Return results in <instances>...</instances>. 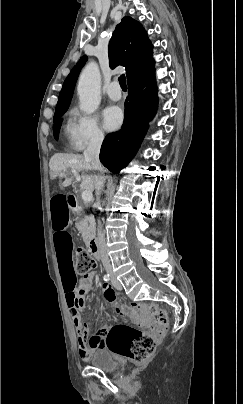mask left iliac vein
I'll return each instance as SVG.
<instances>
[{
  "instance_id": "obj_1",
  "label": "left iliac vein",
  "mask_w": 243,
  "mask_h": 404,
  "mask_svg": "<svg viewBox=\"0 0 243 404\" xmlns=\"http://www.w3.org/2000/svg\"><path fill=\"white\" fill-rule=\"evenodd\" d=\"M111 281L113 286L117 289V290H122V285L121 283L117 280L116 276L111 273Z\"/></svg>"
}]
</instances>
